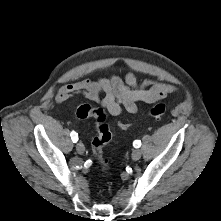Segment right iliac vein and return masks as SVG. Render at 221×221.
<instances>
[{"label": "right iliac vein", "mask_w": 221, "mask_h": 221, "mask_svg": "<svg viewBox=\"0 0 221 221\" xmlns=\"http://www.w3.org/2000/svg\"><path fill=\"white\" fill-rule=\"evenodd\" d=\"M76 150H77V152L79 153V154H84V152H85V147H84V145L81 143V142H78L77 144H76Z\"/></svg>", "instance_id": "63e3f726"}]
</instances>
